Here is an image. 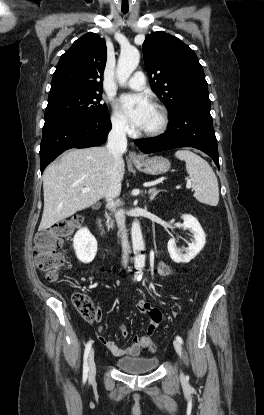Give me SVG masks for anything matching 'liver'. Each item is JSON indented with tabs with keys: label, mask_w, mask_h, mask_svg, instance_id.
<instances>
[{
	"label": "liver",
	"mask_w": 264,
	"mask_h": 415,
	"mask_svg": "<svg viewBox=\"0 0 264 415\" xmlns=\"http://www.w3.org/2000/svg\"><path fill=\"white\" fill-rule=\"evenodd\" d=\"M113 162L106 147H90L69 150L58 163L49 165L43 173L44 209L39 231L50 228L106 196ZM119 170L122 180L124 161ZM84 188H90V191L83 193Z\"/></svg>",
	"instance_id": "1"
}]
</instances>
